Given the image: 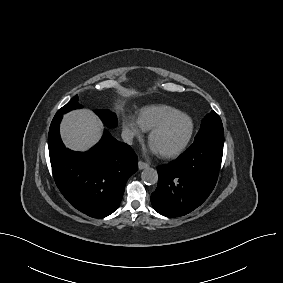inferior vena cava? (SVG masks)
<instances>
[{
  "label": "inferior vena cava",
  "instance_id": "602c4592",
  "mask_svg": "<svg viewBox=\"0 0 283 283\" xmlns=\"http://www.w3.org/2000/svg\"><path fill=\"white\" fill-rule=\"evenodd\" d=\"M121 137H122V139H123V141L125 143L132 144L133 138H134V134H133L132 131L126 129V130L122 131Z\"/></svg>",
  "mask_w": 283,
  "mask_h": 283
}]
</instances>
